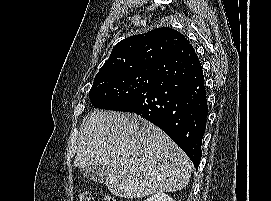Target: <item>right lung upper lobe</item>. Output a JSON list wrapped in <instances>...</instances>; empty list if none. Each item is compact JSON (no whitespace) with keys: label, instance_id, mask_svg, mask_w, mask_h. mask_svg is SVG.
I'll use <instances>...</instances> for the list:
<instances>
[{"label":"right lung upper lobe","instance_id":"right-lung-upper-lobe-1","mask_svg":"<svg viewBox=\"0 0 271 201\" xmlns=\"http://www.w3.org/2000/svg\"><path fill=\"white\" fill-rule=\"evenodd\" d=\"M185 37L172 28H158L120 41L95 78L136 71H151L154 65L169 54Z\"/></svg>","mask_w":271,"mask_h":201}]
</instances>
